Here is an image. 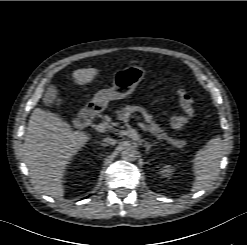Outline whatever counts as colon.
<instances>
[{
    "instance_id": "1",
    "label": "colon",
    "mask_w": 247,
    "mask_h": 245,
    "mask_svg": "<svg viewBox=\"0 0 247 245\" xmlns=\"http://www.w3.org/2000/svg\"><path fill=\"white\" fill-rule=\"evenodd\" d=\"M177 94L179 104L183 112L180 115L173 116L170 120V125L173 129H182L194 115V100L191 94L182 87L178 89Z\"/></svg>"
}]
</instances>
